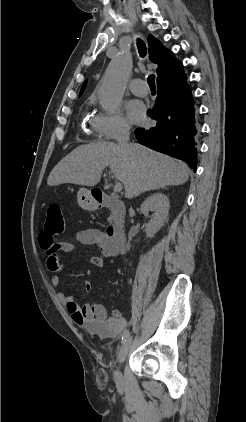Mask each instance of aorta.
<instances>
[{"mask_svg": "<svg viewBox=\"0 0 246 422\" xmlns=\"http://www.w3.org/2000/svg\"><path fill=\"white\" fill-rule=\"evenodd\" d=\"M131 68L132 59L126 50L111 60L98 91L99 102L107 112L113 113L119 107Z\"/></svg>", "mask_w": 246, "mask_h": 422, "instance_id": "762f6f07", "label": "aorta"}]
</instances>
